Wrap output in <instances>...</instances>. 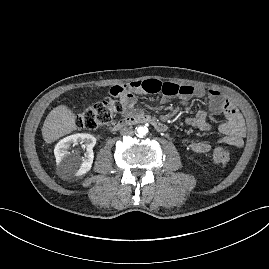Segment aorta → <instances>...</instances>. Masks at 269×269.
Returning <instances> with one entry per match:
<instances>
[{
	"label": "aorta",
	"mask_w": 269,
	"mask_h": 269,
	"mask_svg": "<svg viewBox=\"0 0 269 269\" xmlns=\"http://www.w3.org/2000/svg\"><path fill=\"white\" fill-rule=\"evenodd\" d=\"M137 136L144 137L148 133V128L146 126H139L136 128Z\"/></svg>",
	"instance_id": "obj_1"
}]
</instances>
